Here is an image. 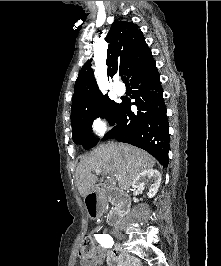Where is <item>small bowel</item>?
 I'll use <instances>...</instances> for the list:
<instances>
[{
  "label": "small bowel",
  "instance_id": "1",
  "mask_svg": "<svg viewBox=\"0 0 221 266\" xmlns=\"http://www.w3.org/2000/svg\"><path fill=\"white\" fill-rule=\"evenodd\" d=\"M100 234L99 232H94L93 235L96 238ZM105 258L109 266H141L135 259L124 257L115 250H106L101 244L96 246L95 259L92 261H81L80 266H100Z\"/></svg>",
  "mask_w": 221,
  "mask_h": 266
}]
</instances>
